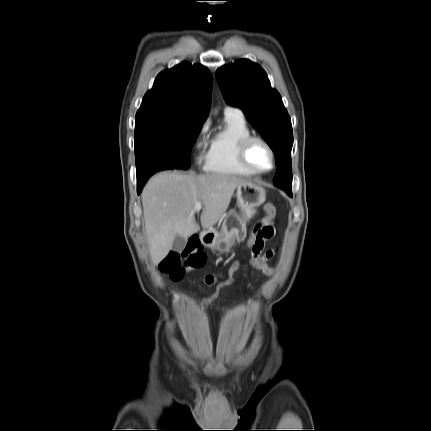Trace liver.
Listing matches in <instances>:
<instances>
[{"instance_id": "liver-1", "label": "liver", "mask_w": 431, "mask_h": 431, "mask_svg": "<svg viewBox=\"0 0 431 431\" xmlns=\"http://www.w3.org/2000/svg\"><path fill=\"white\" fill-rule=\"evenodd\" d=\"M248 180L225 174H181L160 172L142 191L145 231L154 264L172 249L176 236L188 238L199 229L195 204L201 202L203 230H213L229 207L235 189Z\"/></svg>"}]
</instances>
